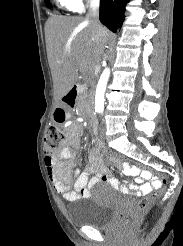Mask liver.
Masks as SVG:
<instances>
[{
	"instance_id": "1",
	"label": "liver",
	"mask_w": 183,
	"mask_h": 246,
	"mask_svg": "<svg viewBox=\"0 0 183 246\" xmlns=\"http://www.w3.org/2000/svg\"><path fill=\"white\" fill-rule=\"evenodd\" d=\"M99 35L80 17L53 15L45 25L46 48L54 94L64 97L77 81L78 71L86 73L100 62L109 32Z\"/></svg>"
}]
</instances>
